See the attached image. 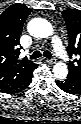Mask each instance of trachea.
Segmentation results:
<instances>
[{
    "mask_svg": "<svg viewBox=\"0 0 81 124\" xmlns=\"http://www.w3.org/2000/svg\"><path fill=\"white\" fill-rule=\"evenodd\" d=\"M42 56V53L40 52V51H35V52H33V54L30 56V59H37V58H39V57H41ZM43 56L45 57V58H48V59H51V57H52V54L49 52V51H44L43 52Z\"/></svg>",
    "mask_w": 81,
    "mask_h": 124,
    "instance_id": "trachea-1",
    "label": "trachea"
}]
</instances>
